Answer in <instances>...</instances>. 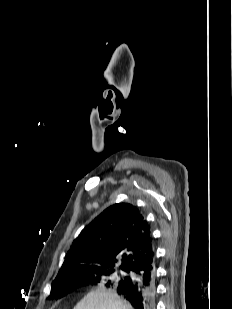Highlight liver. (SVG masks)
Instances as JSON below:
<instances>
[{
	"label": "liver",
	"mask_w": 232,
	"mask_h": 309,
	"mask_svg": "<svg viewBox=\"0 0 232 309\" xmlns=\"http://www.w3.org/2000/svg\"><path fill=\"white\" fill-rule=\"evenodd\" d=\"M73 309H133L113 290L98 288L89 292Z\"/></svg>",
	"instance_id": "liver-1"
}]
</instances>
